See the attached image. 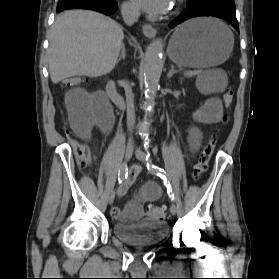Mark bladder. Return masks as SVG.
Here are the masks:
<instances>
[{
  "label": "bladder",
  "mask_w": 279,
  "mask_h": 279,
  "mask_svg": "<svg viewBox=\"0 0 279 279\" xmlns=\"http://www.w3.org/2000/svg\"><path fill=\"white\" fill-rule=\"evenodd\" d=\"M112 230L122 242L145 247L162 242L168 233V225L162 220L143 218L133 224L115 222Z\"/></svg>",
  "instance_id": "1"
}]
</instances>
